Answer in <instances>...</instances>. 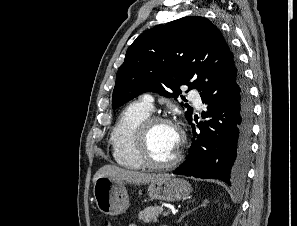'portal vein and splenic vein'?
Returning <instances> with one entry per match:
<instances>
[{"mask_svg": "<svg viewBox=\"0 0 297 226\" xmlns=\"http://www.w3.org/2000/svg\"><path fill=\"white\" fill-rule=\"evenodd\" d=\"M169 214H170L169 211H165V212H163V215H164V216H168Z\"/></svg>", "mask_w": 297, "mask_h": 226, "instance_id": "obj_1", "label": "portal vein and splenic vein"}]
</instances>
